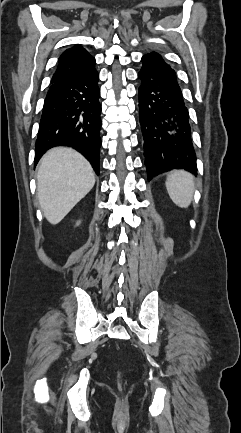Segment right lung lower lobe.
<instances>
[{
    "mask_svg": "<svg viewBox=\"0 0 241 433\" xmlns=\"http://www.w3.org/2000/svg\"><path fill=\"white\" fill-rule=\"evenodd\" d=\"M98 80L94 63L51 82L35 144V164L49 148L65 145L82 153L99 174L101 106Z\"/></svg>",
    "mask_w": 241,
    "mask_h": 433,
    "instance_id": "1",
    "label": "right lung lower lobe"
}]
</instances>
